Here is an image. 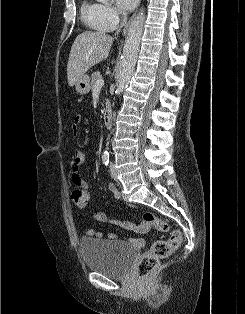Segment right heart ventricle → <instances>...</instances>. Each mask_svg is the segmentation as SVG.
<instances>
[{
    "label": "right heart ventricle",
    "instance_id": "obj_1",
    "mask_svg": "<svg viewBox=\"0 0 245 314\" xmlns=\"http://www.w3.org/2000/svg\"><path fill=\"white\" fill-rule=\"evenodd\" d=\"M80 12L81 18L86 25L92 29L103 31L98 24V4L85 0L81 4Z\"/></svg>",
    "mask_w": 245,
    "mask_h": 314
}]
</instances>
